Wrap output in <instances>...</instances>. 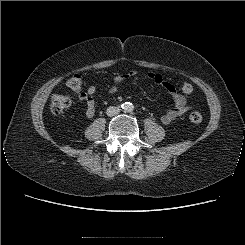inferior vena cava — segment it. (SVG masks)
Segmentation results:
<instances>
[{
	"instance_id": "inferior-vena-cava-1",
	"label": "inferior vena cava",
	"mask_w": 245,
	"mask_h": 245,
	"mask_svg": "<svg viewBox=\"0 0 245 245\" xmlns=\"http://www.w3.org/2000/svg\"><path fill=\"white\" fill-rule=\"evenodd\" d=\"M119 113H120V108L119 107L110 106L106 110V114L109 117L115 116V115H117Z\"/></svg>"
}]
</instances>
